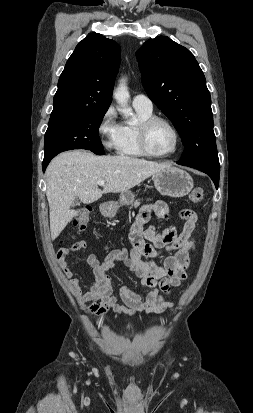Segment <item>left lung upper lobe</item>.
<instances>
[{
    "label": "left lung upper lobe",
    "mask_w": 253,
    "mask_h": 413,
    "mask_svg": "<svg viewBox=\"0 0 253 413\" xmlns=\"http://www.w3.org/2000/svg\"><path fill=\"white\" fill-rule=\"evenodd\" d=\"M149 98L172 121L185 150L179 164L219 169L211 97L193 54L166 36L136 53Z\"/></svg>",
    "instance_id": "5c2ea615"
}]
</instances>
